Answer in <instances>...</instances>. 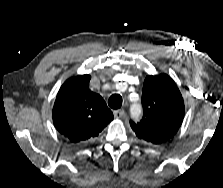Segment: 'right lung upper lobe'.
<instances>
[{
    "label": "right lung upper lobe",
    "instance_id": "obj_1",
    "mask_svg": "<svg viewBox=\"0 0 223 188\" xmlns=\"http://www.w3.org/2000/svg\"><path fill=\"white\" fill-rule=\"evenodd\" d=\"M90 75L71 77L61 86L52 111L56 129L71 143L98 136L113 120L103 98L89 89Z\"/></svg>",
    "mask_w": 223,
    "mask_h": 188
}]
</instances>
